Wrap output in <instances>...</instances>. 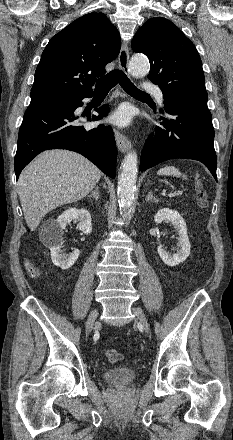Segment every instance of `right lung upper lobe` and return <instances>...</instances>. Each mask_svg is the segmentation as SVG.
<instances>
[{"label": "right lung upper lobe", "mask_w": 233, "mask_h": 440, "mask_svg": "<svg viewBox=\"0 0 233 440\" xmlns=\"http://www.w3.org/2000/svg\"><path fill=\"white\" fill-rule=\"evenodd\" d=\"M120 35L103 13L86 14L47 44L35 71L31 102L92 92L120 51Z\"/></svg>", "instance_id": "obj_1"}]
</instances>
